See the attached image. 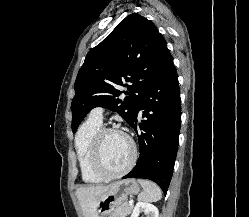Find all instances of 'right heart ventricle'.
Wrapping results in <instances>:
<instances>
[{
	"mask_svg": "<svg viewBox=\"0 0 249 217\" xmlns=\"http://www.w3.org/2000/svg\"><path fill=\"white\" fill-rule=\"evenodd\" d=\"M102 127V122L88 117L79 127L75 137V150L81 176L84 182L97 184L105 179L94 172L91 166V145L97 131Z\"/></svg>",
	"mask_w": 249,
	"mask_h": 217,
	"instance_id": "obj_1",
	"label": "right heart ventricle"
}]
</instances>
